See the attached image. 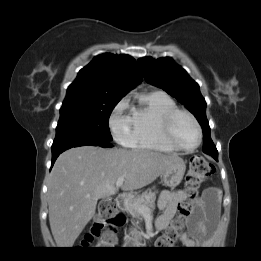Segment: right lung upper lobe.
Segmentation results:
<instances>
[{
  "mask_svg": "<svg viewBox=\"0 0 261 261\" xmlns=\"http://www.w3.org/2000/svg\"><path fill=\"white\" fill-rule=\"evenodd\" d=\"M136 61L129 55H98L82 68L68 87L66 97H123L141 82Z\"/></svg>",
  "mask_w": 261,
  "mask_h": 261,
  "instance_id": "obj_1",
  "label": "right lung upper lobe"
}]
</instances>
